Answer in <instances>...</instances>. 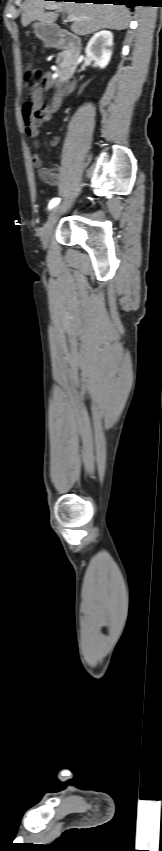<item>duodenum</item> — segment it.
<instances>
[{
	"label": "duodenum",
	"instance_id": "1",
	"mask_svg": "<svg viewBox=\"0 0 162 851\" xmlns=\"http://www.w3.org/2000/svg\"><path fill=\"white\" fill-rule=\"evenodd\" d=\"M49 43L53 47L64 48L68 51L67 66L62 71V83L72 77L78 67L82 51L80 39L64 29H54L49 34Z\"/></svg>",
	"mask_w": 162,
	"mask_h": 851
}]
</instances>
